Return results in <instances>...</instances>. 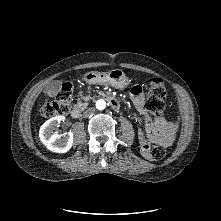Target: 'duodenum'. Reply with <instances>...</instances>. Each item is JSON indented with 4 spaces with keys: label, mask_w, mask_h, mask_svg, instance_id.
<instances>
[{
    "label": "duodenum",
    "mask_w": 221,
    "mask_h": 221,
    "mask_svg": "<svg viewBox=\"0 0 221 221\" xmlns=\"http://www.w3.org/2000/svg\"><path fill=\"white\" fill-rule=\"evenodd\" d=\"M99 96L102 97L103 99H105L114 110H118L120 108L121 103H120L119 99H117L112 94L107 93V92H101V93H99ZM71 116L74 119L79 118L81 116V109L79 107H75L71 111Z\"/></svg>",
    "instance_id": "duodenum-1"
}]
</instances>
